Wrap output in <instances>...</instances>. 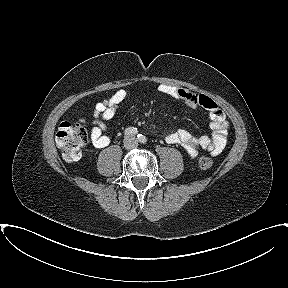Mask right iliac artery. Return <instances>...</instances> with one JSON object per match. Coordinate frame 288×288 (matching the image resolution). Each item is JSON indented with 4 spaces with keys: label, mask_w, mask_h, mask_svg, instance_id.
<instances>
[{
    "label": "right iliac artery",
    "mask_w": 288,
    "mask_h": 288,
    "mask_svg": "<svg viewBox=\"0 0 288 288\" xmlns=\"http://www.w3.org/2000/svg\"><path fill=\"white\" fill-rule=\"evenodd\" d=\"M137 133H138L137 128L134 127H129L124 131L125 136L135 135Z\"/></svg>",
    "instance_id": "1"
}]
</instances>
